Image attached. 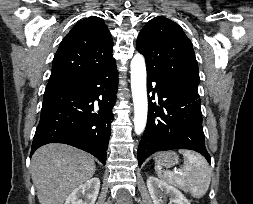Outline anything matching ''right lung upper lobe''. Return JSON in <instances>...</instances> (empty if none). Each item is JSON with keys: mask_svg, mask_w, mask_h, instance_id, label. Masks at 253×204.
Listing matches in <instances>:
<instances>
[{"mask_svg": "<svg viewBox=\"0 0 253 204\" xmlns=\"http://www.w3.org/2000/svg\"><path fill=\"white\" fill-rule=\"evenodd\" d=\"M112 50L111 33L101 18L79 21L55 54L49 82H70L115 65Z\"/></svg>", "mask_w": 253, "mask_h": 204, "instance_id": "obj_1", "label": "right lung upper lobe"}]
</instances>
